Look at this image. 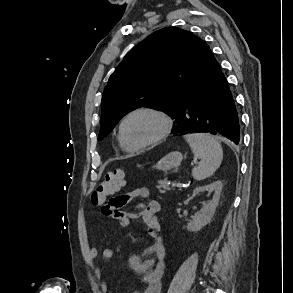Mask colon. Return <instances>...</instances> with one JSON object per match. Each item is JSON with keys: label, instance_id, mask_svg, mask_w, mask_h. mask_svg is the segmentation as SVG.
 Listing matches in <instances>:
<instances>
[{"label": "colon", "instance_id": "1", "mask_svg": "<svg viewBox=\"0 0 293 293\" xmlns=\"http://www.w3.org/2000/svg\"><path fill=\"white\" fill-rule=\"evenodd\" d=\"M125 185V174L122 170L116 169L105 174L92 194V201L95 205L106 202L115 192ZM115 203L113 197L110 199Z\"/></svg>", "mask_w": 293, "mask_h": 293}]
</instances>
